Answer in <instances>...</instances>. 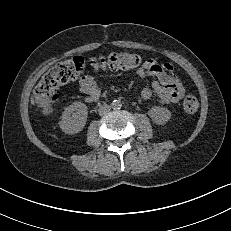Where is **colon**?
<instances>
[{"label": "colon", "instance_id": "1", "mask_svg": "<svg viewBox=\"0 0 231 231\" xmlns=\"http://www.w3.org/2000/svg\"><path fill=\"white\" fill-rule=\"evenodd\" d=\"M141 64L140 56L133 53H111L105 56L84 59L76 56L72 59L59 62L50 68L37 84L34 95L38 106L45 115L53 111V106L58 98V89L78 79L87 67L99 71H125L135 69ZM199 106L198 100L193 95H188L183 100V108L187 113H194Z\"/></svg>", "mask_w": 231, "mask_h": 231}]
</instances>
